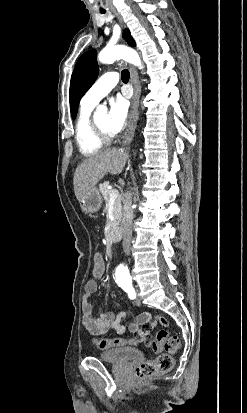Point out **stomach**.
Listing matches in <instances>:
<instances>
[{
	"instance_id": "obj_1",
	"label": "stomach",
	"mask_w": 247,
	"mask_h": 413,
	"mask_svg": "<svg viewBox=\"0 0 247 413\" xmlns=\"http://www.w3.org/2000/svg\"><path fill=\"white\" fill-rule=\"evenodd\" d=\"M79 202L83 213H96L101 207L103 198L98 188H91L85 196L80 198Z\"/></svg>"
}]
</instances>
